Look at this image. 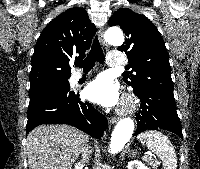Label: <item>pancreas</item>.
<instances>
[{
	"mask_svg": "<svg viewBox=\"0 0 200 169\" xmlns=\"http://www.w3.org/2000/svg\"><path fill=\"white\" fill-rule=\"evenodd\" d=\"M146 162H148V164L150 165V166H152L154 169H157V167H158V162L156 161V160H154V159H146Z\"/></svg>",
	"mask_w": 200,
	"mask_h": 169,
	"instance_id": "cf45deb5",
	"label": "pancreas"
}]
</instances>
